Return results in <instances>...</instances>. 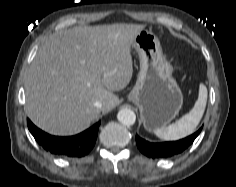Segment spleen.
Instances as JSON below:
<instances>
[{"instance_id":"spleen-1","label":"spleen","mask_w":236,"mask_h":187,"mask_svg":"<svg viewBox=\"0 0 236 187\" xmlns=\"http://www.w3.org/2000/svg\"><path fill=\"white\" fill-rule=\"evenodd\" d=\"M207 89L201 84L198 99L189 113L175 123L154 130V134L162 140H178L194 132L198 126L206 107Z\"/></svg>"}]
</instances>
